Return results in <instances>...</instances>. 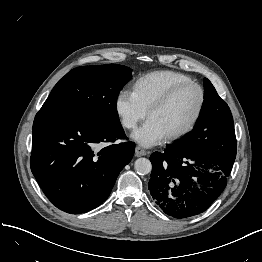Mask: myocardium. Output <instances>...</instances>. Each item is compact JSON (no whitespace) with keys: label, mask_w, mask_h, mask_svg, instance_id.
<instances>
[{"label":"myocardium","mask_w":262,"mask_h":262,"mask_svg":"<svg viewBox=\"0 0 262 262\" xmlns=\"http://www.w3.org/2000/svg\"><path fill=\"white\" fill-rule=\"evenodd\" d=\"M188 87H194L198 91L199 93L198 107L192 119L190 120V122L183 129L166 136V139L169 142H173V141L179 140L187 136L196 127L202 115L204 106H205L206 93H205L204 88L200 84L194 81H187V82L180 83L174 86L173 88H171L165 95H163L157 102H155L148 110L147 115L148 117H150L154 112L164 108L181 90L188 88Z\"/></svg>","instance_id":"obj_1"}]
</instances>
